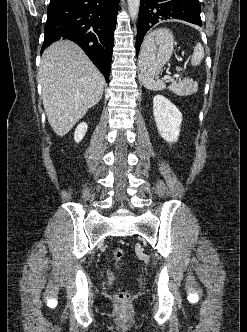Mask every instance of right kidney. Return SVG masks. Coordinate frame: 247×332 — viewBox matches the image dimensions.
I'll return each mask as SVG.
<instances>
[{
    "label": "right kidney",
    "mask_w": 247,
    "mask_h": 332,
    "mask_svg": "<svg viewBox=\"0 0 247 332\" xmlns=\"http://www.w3.org/2000/svg\"><path fill=\"white\" fill-rule=\"evenodd\" d=\"M87 128H88V125L85 122H82L77 126V128L75 129V132H74L75 142H80L84 138V136L87 132Z\"/></svg>",
    "instance_id": "right-kidney-1"
}]
</instances>
